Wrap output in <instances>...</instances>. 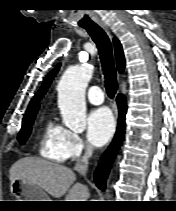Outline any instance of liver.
<instances>
[{
    "mask_svg": "<svg viewBox=\"0 0 176 211\" xmlns=\"http://www.w3.org/2000/svg\"><path fill=\"white\" fill-rule=\"evenodd\" d=\"M10 182L22 179L45 190L54 198L66 194L65 201H87V186L75 183L74 172L66 167L44 159L26 157L15 162L9 170Z\"/></svg>",
    "mask_w": 176,
    "mask_h": 211,
    "instance_id": "1",
    "label": "liver"
}]
</instances>
